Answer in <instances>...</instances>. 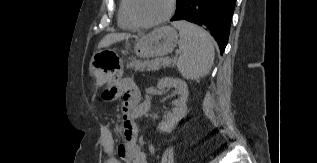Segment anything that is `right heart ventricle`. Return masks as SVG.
<instances>
[{
	"mask_svg": "<svg viewBox=\"0 0 317 163\" xmlns=\"http://www.w3.org/2000/svg\"><path fill=\"white\" fill-rule=\"evenodd\" d=\"M118 24L122 29L134 30L139 26L131 19L128 13V0H120L118 11Z\"/></svg>",
	"mask_w": 317,
	"mask_h": 163,
	"instance_id": "right-heart-ventricle-1",
	"label": "right heart ventricle"
}]
</instances>
